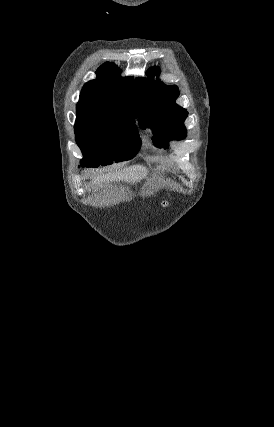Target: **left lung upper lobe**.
<instances>
[{"instance_id":"obj_1","label":"left lung upper lobe","mask_w":274,"mask_h":427,"mask_svg":"<svg viewBox=\"0 0 274 427\" xmlns=\"http://www.w3.org/2000/svg\"><path fill=\"white\" fill-rule=\"evenodd\" d=\"M149 79L138 78L134 83V98L139 108V126L151 128L156 146H168L169 139L180 140L186 135L183 124L188 112L175 103L178 87L167 86L154 75L156 67L148 71Z\"/></svg>"}]
</instances>
